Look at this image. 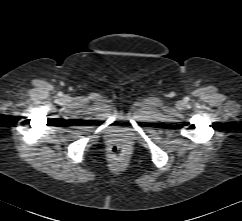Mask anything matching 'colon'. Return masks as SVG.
Segmentation results:
<instances>
[{
	"label": "colon",
	"mask_w": 242,
	"mask_h": 221,
	"mask_svg": "<svg viewBox=\"0 0 242 221\" xmlns=\"http://www.w3.org/2000/svg\"><path fill=\"white\" fill-rule=\"evenodd\" d=\"M111 151L114 155H120L121 149L117 145H113L111 148Z\"/></svg>",
	"instance_id": "colon-1"
}]
</instances>
